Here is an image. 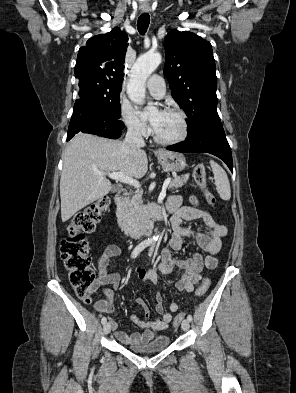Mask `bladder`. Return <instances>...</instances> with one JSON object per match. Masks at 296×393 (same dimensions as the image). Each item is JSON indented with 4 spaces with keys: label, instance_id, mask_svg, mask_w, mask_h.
Returning <instances> with one entry per match:
<instances>
[{
    "label": "bladder",
    "instance_id": "1",
    "mask_svg": "<svg viewBox=\"0 0 296 393\" xmlns=\"http://www.w3.org/2000/svg\"><path fill=\"white\" fill-rule=\"evenodd\" d=\"M170 344V338L166 335L154 337L149 343L143 346H130L128 349L135 353L151 354L166 349Z\"/></svg>",
    "mask_w": 296,
    "mask_h": 393
}]
</instances>
